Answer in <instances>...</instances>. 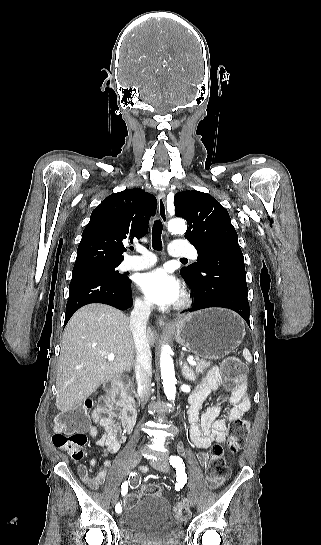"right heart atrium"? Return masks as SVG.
I'll use <instances>...</instances> for the list:
<instances>
[{
    "mask_svg": "<svg viewBox=\"0 0 321 545\" xmlns=\"http://www.w3.org/2000/svg\"><path fill=\"white\" fill-rule=\"evenodd\" d=\"M134 306L137 310L143 313H149L151 311L150 303L143 298H135Z\"/></svg>",
    "mask_w": 321,
    "mask_h": 545,
    "instance_id": "d8ad5b80",
    "label": "right heart atrium"
}]
</instances>
